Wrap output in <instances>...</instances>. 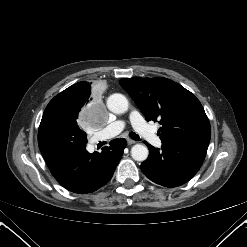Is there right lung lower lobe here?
<instances>
[{"mask_svg": "<svg viewBox=\"0 0 247 247\" xmlns=\"http://www.w3.org/2000/svg\"><path fill=\"white\" fill-rule=\"evenodd\" d=\"M86 143V133L76 122L43 115L39 149L53 176L74 193H90L107 184L126 147L125 139H114L101 153L90 154Z\"/></svg>", "mask_w": 247, "mask_h": 247, "instance_id": "obj_1", "label": "right lung lower lobe"}]
</instances>
